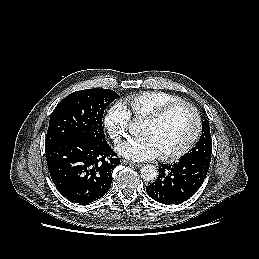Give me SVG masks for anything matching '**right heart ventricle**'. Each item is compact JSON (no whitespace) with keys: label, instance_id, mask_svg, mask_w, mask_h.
Here are the masks:
<instances>
[{"label":"right heart ventricle","instance_id":"e07e8e85","mask_svg":"<svg viewBox=\"0 0 259 259\" xmlns=\"http://www.w3.org/2000/svg\"><path fill=\"white\" fill-rule=\"evenodd\" d=\"M183 101L180 97L167 92L150 91L128 96L124 99L130 115L134 118H146L160 108Z\"/></svg>","mask_w":259,"mask_h":259}]
</instances>
